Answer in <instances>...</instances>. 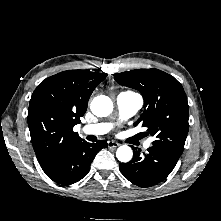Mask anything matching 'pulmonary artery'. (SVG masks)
Masks as SVG:
<instances>
[{"label":"pulmonary artery","mask_w":221,"mask_h":221,"mask_svg":"<svg viewBox=\"0 0 221 221\" xmlns=\"http://www.w3.org/2000/svg\"><path fill=\"white\" fill-rule=\"evenodd\" d=\"M116 102L120 119L126 120L137 113L143 104V99L137 93L126 91L117 96ZM112 127L111 123H96L84 126L82 132L87 135L100 136L108 133ZM150 145L151 140H148L144 143V148L147 149Z\"/></svg>","instance_id":"pulmonary-artery-1"}]
</instances>
